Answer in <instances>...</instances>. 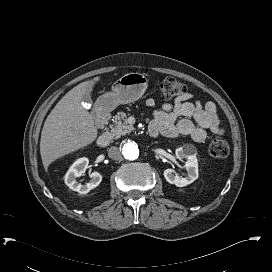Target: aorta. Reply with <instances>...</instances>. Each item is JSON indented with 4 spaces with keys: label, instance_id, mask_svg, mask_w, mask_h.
<instances>
[{
    "label": "aorta",
    "instance_id": "obj_1",
    "mask_svg": "<svg viewBox=\"0 0 272 272\" xmlns=\"http://www.w3.org/2000/svg\"><path fill=\"white\" fill-rule=\"evenodd\" d=\"M140 153V146L134 140H127L122 145V154L125 159L135 160Z\"/></svg>",
    "mask_w": 272,
    "mask_h": 272
}]
</instances>
